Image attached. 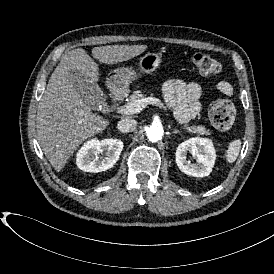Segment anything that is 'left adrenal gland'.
<instances>
[{
  "label": "left adrenal gland",
  "instance_id": "1",
  "mask_svg": "<svg viewBox=\"0 0 274 274\" xmlns=\"http://www.w3.org/2000/svg\"><path fill=\"white\" fill-rule=\"evenodd\" d=\"M173 133L177 134V133H179V130H174Z\"/></svg>",
  "mask_w": 274,
  "mask_h": 274
}]
</instances>
